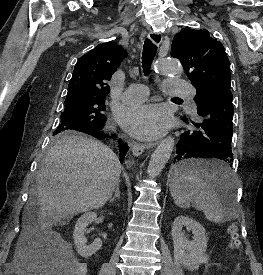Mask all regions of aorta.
Returning <instances> with one entry per match:
<instances>
[{
    "label": "aorta",
    "mask_w": 263,
    "mask_h": 275,
    "mask_svg": "<svg viewBox=\"0 0 263 275\" xmlns=\"http://www.w3.org/2000/svg\"><path fill=\"white\" fill-rule=\"evenodd\" d=\"M154 71L162 74L179 76L183 72V68L176 59H163L155 63ZM173 148L174 138L171 136L160 142L149 161L147 173L150 178H154L160 174L170 159Z\"/></svg>",
    "instance_id": "aorta-1"
}]
</instances>
